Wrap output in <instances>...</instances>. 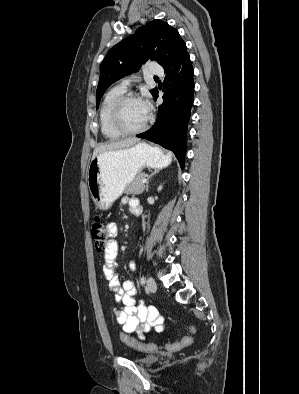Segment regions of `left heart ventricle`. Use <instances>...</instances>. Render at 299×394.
<instances>
[{
    "instance_id": "1",
    "label": "left heart ventricle",
    "mask_w": 299,
    "mask_h": 394,
    "mask_svg": "<svg viewBox=\"0 0 299 394\" xmlns=\"http://www.w3.org/2000/svg\"><path fill=\"white\" fill-rule=\"evenodd\" d=\"M147 116L148 113L140 100H128L121 109V121L129 129L141 126Z\"/></svg>"
}]
</instances>
